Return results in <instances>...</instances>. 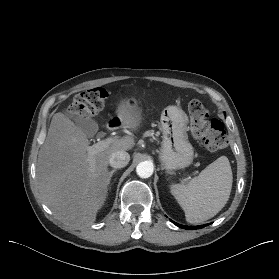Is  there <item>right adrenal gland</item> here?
I'll return each instance as SVG.
<instances>
[{
    "label": "right adrenal gland",
    "mask_w": 279,
    "mask_h": 279,
    "mask_svg": "<svg viewBox=\"0 0 279 279\" xmlns=\"http://www.w3.org/2000/svg\"><path fill=\"white\" fill-rule=\"evenodd\" d=\"M116 170L117 169H113V170L110 171V173H109V183H110V180H111L113 174L116 172Z\"/></svg>",
    "instance_id": "1"
}]
</instances>
